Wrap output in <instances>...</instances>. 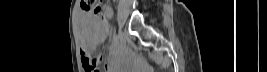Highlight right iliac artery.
Returning a JSON list of instances; mask_svg holds the SVG:
<instances>
[{
    "label": "right iliac artery",
    "mask_w": 267,
    "mask_h": 72,
    "mask_svg": "<svg viewBox=\"0 0 267 72\" xmlns=\"http://www.w3.org/2000/svg\"><path fill=\"white\" fill-rule=\"evenodd\" d=\"M113 40H114L115 42H117V41L119 40V35L114 34V36H113Z\"/></svg>",
    "instance_id": "obj_1"
}]
</instances>
